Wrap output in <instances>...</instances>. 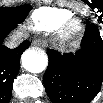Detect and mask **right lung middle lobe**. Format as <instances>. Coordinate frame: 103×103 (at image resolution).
<instances>
[{
    "mask_svg": "<svg viewBox=\"0 0 103 103\" xmlns=\"http://www.w3.org/2000/svg\"><path fill=\"white\" fill-rule=\"evenodd\" d=\"M31 6L28 4L11 7V8H0V24L2 23H22L27 14L30 12Z\"/></svg>",
    "mask_w": 103,
    "mask_h": 103,
    "instance_id": "dd1d6c3e",
    "label": "right lung middle lobe"
}]
</instances>
